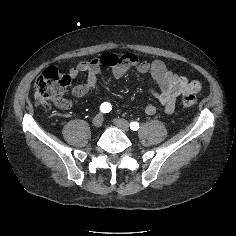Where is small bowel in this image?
<instances>
[{
  "label": "small bowel",
  "instance_id": "1",
  "mask_svg": "<svg viewBox=\"0 0 236 236\" xmlns=\"http://www.w3.org/2000/svg\"><path fill=\"white\" fill-rule=\"evenodd\" d=\"M102 65L111 68V78L114 80L123 77L130 69H135L141 74L149 73L157 84V87L152 89V95L169 114L173 113L181 97L197 93L201 89L199 81L173 73L160 60L149 62L133 53L121 56L105 54L90 61H82L69 70V77L72 79L77 78L80 74L87 75L86 83L72 88V94L75 97L102 94V90L98 86V76ZM55 104L62 109H69L72 105L71 101L65 98L56 101ZM156 110V106L153 104H148L145 107V113L148 115L155 114Z\"/></svg>",
  "mask_w": 236,
  "mask_h": 236
}]
</instances>
